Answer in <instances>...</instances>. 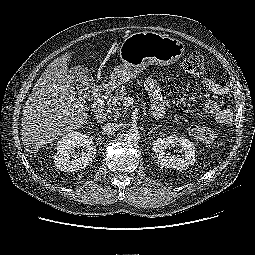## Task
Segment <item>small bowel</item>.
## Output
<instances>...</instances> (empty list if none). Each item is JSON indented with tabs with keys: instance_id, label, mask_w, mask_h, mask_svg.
I'll return each mask as SVG.
<instances>
[{
	"instance_id": "small-bowel-1",
	"label": "small bowel",
	"mask_w": 255,
	"mask_h": 255,
	"mask_svg": "<svg viewBox=\"0 0 255 255\" xmlns=\"http://www.w3.org/2000/svg\"><path fill=\"white\" fill-rule=\"evenodd\" d=\"M201 83L207 90L212 93L218 94L221 90V86L211 78L205 77L201 80ZM145 88L151 100L153 116L157 118L162 117L164 115L165 108L170 103V96H167L165 98L162 97L159 85L154 78L146 79ZM207 109L209 111H216L218 109V106L215 102H209L207 104Z\"/></svg>"
}]
</instances>
